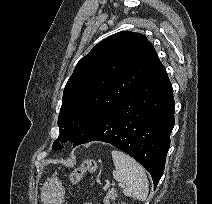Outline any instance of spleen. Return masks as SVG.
Instances as JSON below:
<instances>
[{"label": "spleen", "mask_w": 212, "mask_h": 204, "mask_svg": "<svg viewBox=\"0 0 212 204\" xmlns=\"http://www.w3.org/2000/svg\"><path fill=\"white\" fill-rule=\"evenodd\" d=\"M111 154L115 167L113 177L122 183L123 193L139 201H145L149 185L143 167L121 151L113 150Z\"/></svg>", "instance_id": "3e777b00"}]
</instances>
